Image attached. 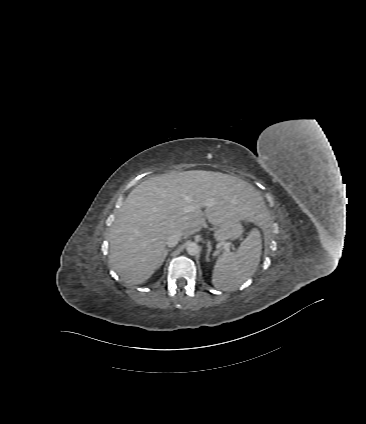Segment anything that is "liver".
Returning a JSON list of instances; mask_svg holds the SVG:
<instances>
[{
    "label": "liver",
    "mask_w": 366,
    "mask_h": 424,
    "mask_svg": "<svg viewBox=\"0 0 366 424\" xmlns=\"http://www.w3.org/2000/svg\"><path fill=\"white\" fill-rule=\"evenodd\" d=\"M208 203L203 212L195 206ZM265 205L248 182L221 172L192 170L145 180L127 196L109 234L110 263L127 283L146 282L159 268L166 238L187 239L206 219L213 226L247 220L262 226Z\"/></svg>",
    "instance_id": "6515ba94"
}]
</instances>
